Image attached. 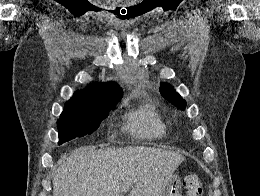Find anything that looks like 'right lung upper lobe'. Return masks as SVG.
Instances as JSON below:
<instances>
[{
    "label": "right lung upper lobe",
    "mask_w": 260,
    "mask_h": 196,
    "mask_svg": "<svg viewBox=\"0 0 260 196\" xmlns=\"http://www.w3.org/2000/svg\"><path fill=\"white\" fill-rule=\"evenodd\" d=\"M122 97V90L115 82L93 83L77 91L66 102L67 108H102L115 106Z\"/></svg>",
    "instance_id": "right-lung-upper-lobe-1"
}]
</instances>
